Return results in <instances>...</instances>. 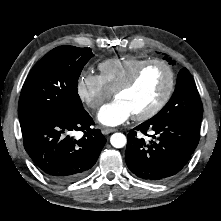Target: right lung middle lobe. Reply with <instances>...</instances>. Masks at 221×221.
Masks as SVG:
<instances>
[{
  "mask_svg": "<svg viewBox=\"0 0 221 221\" xmlns=\"http://www.w3.org/2000/svg\"><path fill=\"white\" fill-rule=\"evenodd\" d=\"M93 56L90 48L60 46L38 61L21 90L18 104L20 126L83 110L77 83L83 67Z\"/></svg>",
  "mask_w": 221,
  "mask_h": 221,
  "instance_id": "right-lung-middle-lobe-1",
  "label": "right lung middle lobe"
}]
</instances>
